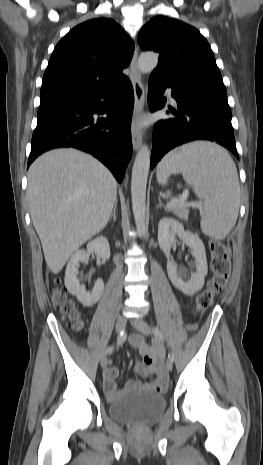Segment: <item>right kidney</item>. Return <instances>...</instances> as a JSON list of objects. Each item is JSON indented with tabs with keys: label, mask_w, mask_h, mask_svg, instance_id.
I'll use <instances>...</instances> for the list:
<instances>
[{
	"label": "right kidney",
	"mask_w": 263,
	"mask_h": 465,
	"mask_svg": "<svg viewBox=\"0 0 263 465\" xmlns=\"http://www.w3.org/2000/svg\"><path fill=\"white\" fill-rule=\"evenodd\" d=\"M91 253L99 255L102 260H108L110 258V247L107 238L99 236L88 243L87 250L76 251L70 258L65 271V286L67 290L71 294L76 295L78 301L86 307L95 304L100 299L104 290V283L101 279L96 281L91 292H87L85 286L80 285L77 279L80 262L87 261Z\"/></svg>",
	"instance_id": "right-kidney-1"
}]
</instances>
